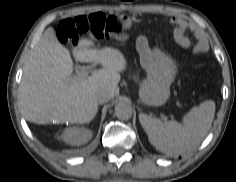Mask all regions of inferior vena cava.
<instances>
[{"mask_svg": "<svg viewBox=\"0 0 236 182\" xmlns=\"http://www.w3.org/2000/svg\"><path fill=\"white\" fill-rule=\"evenodd\" d=\"M111 98H112V93L107 89L100 90L96 94V100L100 104L109 101Z\"/></svg>", "mask_w": 236, "mask_h": 182, "instance_id": "obj_1", "label": "inferior vena cava"}]
</instances>
